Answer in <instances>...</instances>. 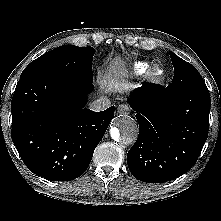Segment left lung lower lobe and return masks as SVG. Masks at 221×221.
Segmentation results:
<instances>
[{
	"instance_id": "0a47b994",
	"label": "left lung lower lobe",
	"mask_w": 221,
	"mask_h": 221,
	"mask_svg": "<svg viewBox=\"0 0 221 221\" xmlns=\"http://www.w3.org/2000/svg\"><path fill=\"white\" fill-rule=\"evenodd\" d=\"M136 111L139 136L127 154L132 175L161 183L187 172L208 137L210 94L206 86L170 91L145 83L128 99Z\"/></svg>"
}]
</instances>
